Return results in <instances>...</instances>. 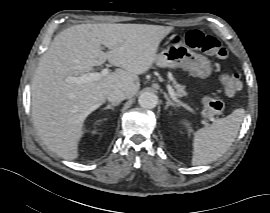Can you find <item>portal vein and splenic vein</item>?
Segmentation results:
<instances>
[{"label": "portal vein and splenic vein", "instance_id": "18ae733b", "mask_svg": "<svg viewBox=\"0 0 270 213\" xmlns=\"http://www.w3.org/2000/svg\"><path fill=\"white\" fill-rule=\"evenodd\" d=\"M109 70L108 68H104L100 73L99 72H93V73H87L84 74L82 76L79 77H73V76H69L66 78V81L69 83H78V84H82V83H86L89 81H95V80H99L100 78H102L103 76H106L108 74ZM167 89H168V93L171 96V98L178 104L182 105L184 108H186L188 111L193 112V110L186 104L182 103L181 101H179L177 99L176 93L174 92L173 88L171 87V85H167Z\"/></svg>", "mask_w": 270, "mask_h": 213}]
</instances>
